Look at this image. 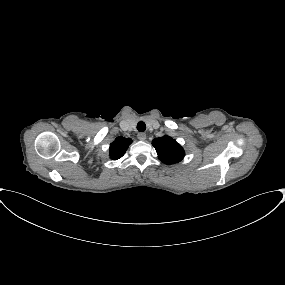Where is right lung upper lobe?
I'll return each mask as SVG.
<instances>
[{
	"instance_id": "cb5924a9",
	"label": "right lung upper lobe",
	"mask_w": 285,
	"mask_h": 285,
	"mask_svg": "<svg viewBox=\"0 0 285 285\" xmlns=\"http://www.w3.org/2000/svg\"><path fill=\"white\" fill-rule=\"evenodd\" d=\"M132 143L131 139L124 137H117L116 140L110 144V157L113 160L121 158L128 146Z\"/></svg>"
}]
</instances>
